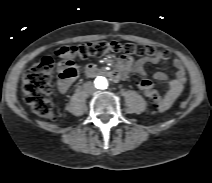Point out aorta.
Returning <instances> with one entry per match:
<instances>
[{"label": "aorta", "instance_id": "762f6f07", "mask_svg": "<svg viewBox=\"0 0 212 183\" xmlns=\"http://www.w3.org/2000/svg\"><path fill=\"white\" fill-rule=\"evenodd\" d=\"M94 83L95 87L99 90H105L108 88L109 85L108 79L103 75L97 76Z\"/></svg>", "mask_w": 212, "mask_h": 183}]
</instances>
